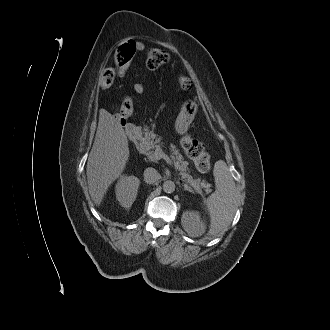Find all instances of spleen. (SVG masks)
<instances>
[{"label":"spleen","instance_id":"obj_1","mask_svg":"<svg viewBox=\"0 0 330 330\" xmlns=\"http://www.w3.org/2000/svg\"><path fill=\"white\" fill-rule=\"evenodd\" d=\"M213 174L216 190L204 200L205 210L210 216L209 235L224 230L231 223L238 207V192L225 161L218 160L215 163Z\"/></svg>","mask_w":330,"mask_h":330}]
</instances>
